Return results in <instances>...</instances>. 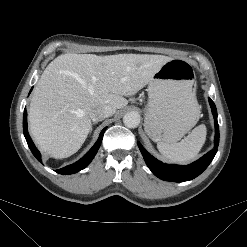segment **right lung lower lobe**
Masks as SVG:
<instances>
[{"instance_id": "right-lung-lower-lobe-1", "label": "right lung lower lobe", "mask_w": 247, "mask_h": 247, "mask_svg": "<svg viewBox=\"0 0 247 247\" xmlns=\"http://www.w3.org/2000/svg\"><path fill=\"white\" fill-rule=\"evenodd\" d=\"M105 130H106V128H104L101 131L99 139L97 140V142L89 150V152L87 154H85L79 161H77L76 163H74L72 165L58 169V170H56V172L59 174H74V173L79 172L80 170L86 168L89 165V163L93 160L94 156L96 155V153H97V151L101 145L103 134H104ZM23 132H24V136H25V139L28 143L30 150L32 151V153L36 157V159L41 162L40 152L37 150V148L33 144L32 140L28 134L26 109L24 110V116H23Z\"/></svg>"}]
</instances>
